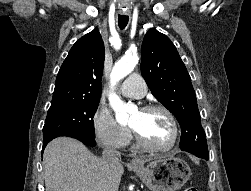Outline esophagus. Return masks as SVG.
Instances as JSON below:
<instances>
[{"instance_id": "1", "label": "esophagus", "mask_w": 251, "mask_h": 191, "mask_svg": "<svg viewBox=\"0 0 251 191\" xmlns=\"http://www.w3.org/2000/svg\"><path fill=\"white\" fill-rule=\"evenodd\" d=\"M140 164V161L138 159H133L130 163L132 166H138Z\"/></svg>"}]
</instances>
